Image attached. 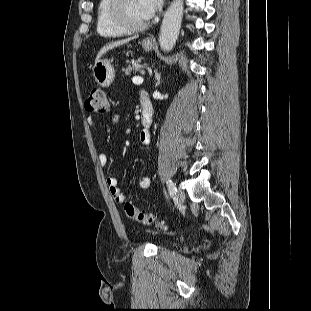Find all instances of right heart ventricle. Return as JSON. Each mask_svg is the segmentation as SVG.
Here are the masks:
<instances>
[{"label": "right heart ventricle", "mask_w": 311, "mask_h": 311, "mask_svg": "<svg viewBox=\"0 0 311 311\" xmlns=\"http://www.w3.org/2000/svg\"><path fill=\"white\" fill-rule=\"evenodd\" d=\"M110 0H99L96 10V31L104 37H120L126 32L111 19L108 8Z\"/></svg>", "instance_id": "e07e8e85"}]
</instances>
